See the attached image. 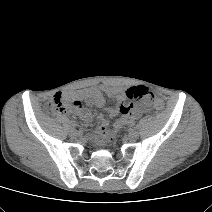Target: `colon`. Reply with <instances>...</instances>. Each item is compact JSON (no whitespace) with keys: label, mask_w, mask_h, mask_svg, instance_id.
Returning <instances> with one entry per match:
<instances>
[{"label":"colon","mask_w":212,"mask_h":212,"mask_svg":"<svg viewBox=\"0 0 212 212\" xmlns=\"http://www.w3.org/2000/svg\"><path fill=\"white\" fill-rule=\"evenodd\" d=\"M128 97L131 99L144 98L151 100L156 109L162 110L164 108V102L157 98L153 92L146 86H134L127 90ZM75 107H81L79 102L73 103ZM69 108L67 101L62 99L60 96H55L53 100L48 104L47 111L49 113H61Z\"/></svg>","instance_id":"colon-1"}]
</instances>
